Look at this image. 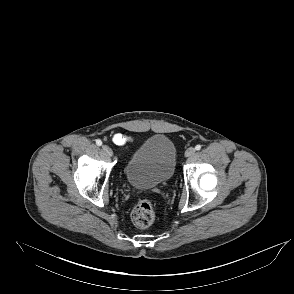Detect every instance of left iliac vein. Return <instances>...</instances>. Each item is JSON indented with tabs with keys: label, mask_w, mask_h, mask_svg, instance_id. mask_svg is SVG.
I'll return each mask as SVG.
<instances>
[{
	"label": "left iliac vein",
	"mask_w": 294,
	"mask_h": 294,
	"mask_svg": "<svg viewBox=\"0 0 294 294\" xmlns=\"http://www.w3.org/2000/svg\"><path fill=\"white\" fill-rule=\"evenodd\" d=\"M195 148L194 147H190V148H188L187 150H186V152H185V156L186 157H190V156H192L194 153H195Z\"/></svg>",
	"instance_id": "1"
}]
</instances>
